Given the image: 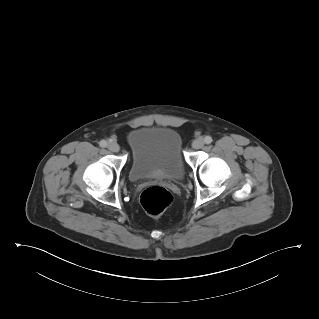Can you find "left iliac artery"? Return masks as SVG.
<instances>
[{"mask_svg":"<svg viewBox=\"0 0 319 319\" xmlns=\"http://www.w3.org/2000/svg\"><path fill=\"white\" fill-rule=\"evenodd\" d=\"M204 141H205L206 144H210L213 140H212V137L206 136V137L204 138Z\"/></svg>","mask_w":319,"mask_h":319,"instance_id":"obj_1","label":"left iliac artery"}]
</instances>
